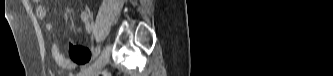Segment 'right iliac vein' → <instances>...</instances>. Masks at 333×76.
Masks as SVG:
<instances>
[{
    "mask_svg": "<svg viewBox=\"0 0 333 76\" xmlns=\"http://www.w3.org/2000/svg\"><path fill=\"white\" fill-rule=\"evenodd\" d=\"M109 55H110V46H107L101 53L100 57L98 60L90 67L89 69L85 70L82 75L83 76H93L96 74L98 71H100L107 63L109 60Z\"/></svg>",
    "mask_w": 333,
    "mask_h": 76,
    "instance_id": "right-iliac-vein-1",
    "label": "right iliac vein"
}]
</instances>
